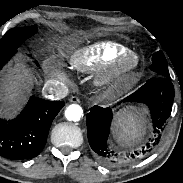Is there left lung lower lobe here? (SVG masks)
I'll return each instance as SVG.
<instances>
[{
	"label": "left lung lower lobe",
	"mask_w": 183,
	"mask_h": 183,
	"mask_svg": "<svg viewBox=\"0 0 183 183\" xmlns=\"http://www.w3.org/2000/svg\"><path fill=\"white\" fill-rule=\"evenodd\" d=\"M173 100L174 87L170 81V76H158L148 80L135 93L128 96L125 102L146 104L151 113L154 132L159 134L171 114ZM112 117L113 114L110 108L94 106L86 118L89 144L102 162L116 163L126 158H136L146 155L159 142L160 137L155 138L152 143H147L140 150L129 155H119L111 151L108 148L107 141L110 134Z\"/></svg>",
	"instance_id": "1"
}]
</instances>
